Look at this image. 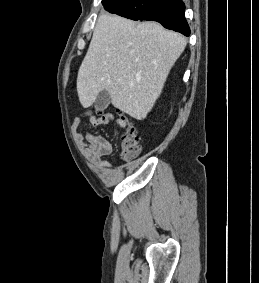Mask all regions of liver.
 Returning <instances> with one entry per match:
<instances>
[{"label":"liver","instance_id":"6515ba94","mask_svg":"<svg viewBox=\"0 0 259 283\" xmlns=\"http://www.w3.org/2000/svg\"><path fill=\"white\" fill-rule=\"evenodd\" d=\"M186 39L156 22L99 16L77 76L81 105L90 107L106 90L114 107L142 120L162 93Z\"/></svg>","mask_w":259,"mask_h":283}]
</instances>
